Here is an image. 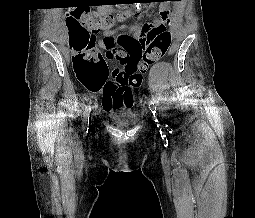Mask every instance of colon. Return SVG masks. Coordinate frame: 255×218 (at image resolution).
<instances>
[{
	"label": "colon",
	"mask_w": 255,
	"mask_h": 218,
	"mask_svg": "<svg viewBox=\"0 0 255 218\" xmlns=\"http://www.w3.org/2000/svg\"><path fill=\"white\" fill-rule=\"evenodd\" d=\"M167 15L163 11L160 22L144 23L134 35L122 34L109 40L106 52H102L97 47L95 33L110 31L125 13L103 15L87 8L69 11L66 23L76 79L90 91L102 90L104 104L109 109L131 107L130 88L141 85L143 70L162 58L170 46V33L165 27ZM114 59L125 62L123 70H109L106 61Z\"/></svg>",
	"instance_id": "colon-1"
}]
</instances>
